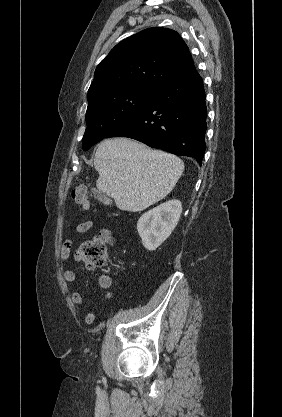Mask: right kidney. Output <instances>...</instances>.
<instances>
[{
	"instance_id": "1",
	"label": "right kidney",
	"mask_w": 282,
	"mask_h": 417,
	"mask_svg": "<svg viewBox=\"0 0 282 417\" xmlns=\"http://www.w3.org/2000/svg\"><path fill=\"white\" fill-rule=\"evenodd\" d=\"M182 213V204L178 198H172L155 206V209L141 215L137 231L142 245L147 251L160 247L174 231Z\"/></svg>"
}]
</instances>
